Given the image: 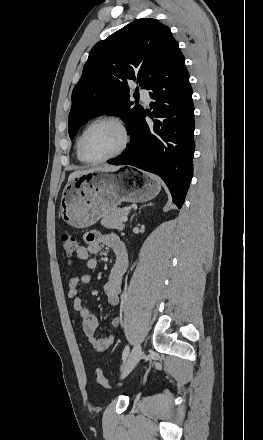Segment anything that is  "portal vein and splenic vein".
<instances>
[{"instance_id": "obj_1", "label": "portal vein and splenic vein", "mask_w": 263, "mask_h": 440, "mask_svg": "<svg viewBox=\"0 0 263 440\" xmlns=\"http://www.w3.org/2000/svg\"><path fill=\"white\" fill-rule=\"evenodd\" d=\"M122 221L123 222H127L128 221L127 215L122 217Z\"/></svg>"}]
</instances>
